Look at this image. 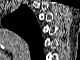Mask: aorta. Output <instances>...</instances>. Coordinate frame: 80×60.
Instances as JSON below:
<instances>
[{
    "label": "aorta",
    "instance_id": "1",
    "mask_svg": "<svg viewBox=\"0 0 80 60\" xmlns=\"http://www.w3.org/2000/svg\"><path fill=\"white\" fill-rule=\"evenodd\" d=\"M6 38L7 46L14 54L25 52L28 50L27 43L19 36L12 33H5L3 35Z\"/></svg>",
    "mask_w": 80,
    "mask_h": 60
}]
</instances>
